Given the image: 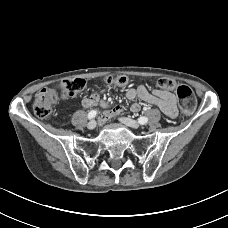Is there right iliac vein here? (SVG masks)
<instances>
[{"mask_svg":"<svg viewBox=\"0 0 228 228\" xmlns=\"http://www.w3.org/2000/svg\"><path fill=\"white\" fill-rule=\"evenodd\" d=\"M96 127V121L95 120H91L88 124H87V128L92 130Z\"/></svg>","mask_w":228,"mask_h":228,"instance_id":"right-iliac-vein-1","label":"right iliac vein"}]
</instances>
